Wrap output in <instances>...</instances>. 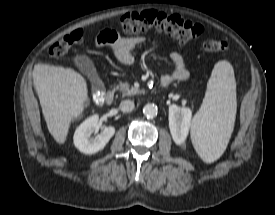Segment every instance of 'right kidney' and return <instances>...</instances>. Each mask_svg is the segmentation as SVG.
Segmentation results:
<instances>
[{
  "instance_id": "1",
  "label": "right kidney",
  "mask_w": 275,
  "mask_h": 215,
  "mask_svg": "<svg viewBox=\"0 0 275 215\" xmlns=\"http://www.w3.org/2000/svg\"><path fill=\"white\" fill-rule=\"evenodd\" d=\"M98 115L87 118L74 133V145L82 153L94 154L102 150L115 134L114 127H106L96 138L90 134L98 129Z\"/></svg>"
}]
</instances>
